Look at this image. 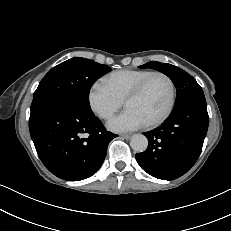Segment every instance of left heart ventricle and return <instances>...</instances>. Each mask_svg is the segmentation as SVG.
I'll return each mask as SVG.
<instances>
[{
  "label": "left heart ventricle",
  "mask_w": 231,
  "mask_h": 231,
  "mask_svg": "<svg viewBox=\"0 0 231 231\" xmlns=\"http://www.w3.org/2000/svg\"><path fill=\"white\" fill-rule=\"evenodd\" d=\"M170 98L171 87L168 80L157 76L140 97L129 101L125 107L135 111L148 123L159 118L167 110Z\"/></svg>",
  "instance_id": "b2bd125f"
}]
</instances>
